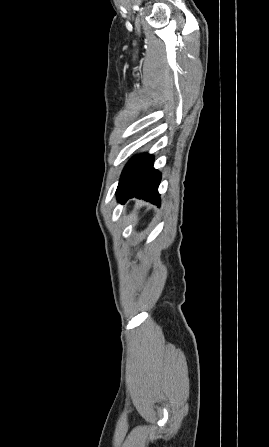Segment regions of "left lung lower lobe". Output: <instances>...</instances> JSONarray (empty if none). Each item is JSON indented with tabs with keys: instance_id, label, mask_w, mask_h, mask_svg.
Masks as SVG:
<instances>
[{
	"instance_id": "0a47b994",
	"label": "left lung lower lobe",
	"mask_w": 269,
	"mask_h": 447,
	"mask_svg": "<svg viewBox=\"0 0 269 447\" xmlns=\"http://www.w3.org/2000/svg\"><path fill=\"white\" fill-rule=\"evenodd\" d=\"M154 157L149 154H141L133 157L125 166L116 195L119 202L137 197L160 206L158 186L161 174L153 168Z\"/></svg>"
}]
</instances>
